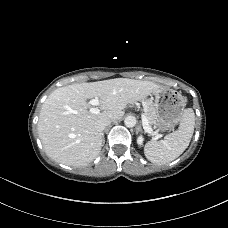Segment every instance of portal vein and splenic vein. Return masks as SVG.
Returning <instances> with one entry per match:
<instances>
[{
    "label": "portal vein and splenic vein",
    "mask_w": 228,
    "mask_h": 228,
    "mask_svg": "<svg viewBox=\"0 0 228 228\" xmlns=\"http://www.w3.org/2000/svg\"><path fill=\"white\" fill-rule=\"evenodd\" d=\"M89 104L92 105V106H97L99 104V98L98 97H95L94 99H91L89 101ZM90 112L93 113V114H98L100 112L99 109L97 108H90ZM141 118H142V125H143V128L147 131V132H151V128L149 126V122H148V119L146 117V115L143 113L141 115Z\"/></svg>",
    "instance_id": "18ae733b"
}]
</instances>
